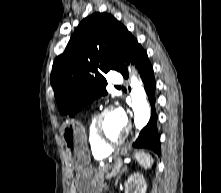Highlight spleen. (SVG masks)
<instances>
[{
	"instance_id": "3e777b00",
	"label": "spleen",
	"mask_w": 221,
	"mask_h": 193,
	"mask_svg": "<svg viewBox=\"0 0 221 193\" xmlns=\"http://www.w3.org/2000/svg\"><path fill=\"white\" fill-rule=\"evenodd\" d=\"M135 158L144 169L151 168L153 159L149 154L145 152H136Z\"/></svg>"
}]
</instances>
